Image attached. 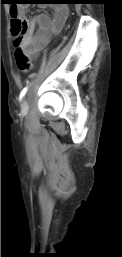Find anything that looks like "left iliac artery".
Instances as JSON below:
<instances>
[{
  "mask_svg": "<svg viewBox=\"0 0 122 257\" xmlns=\"http://www.w3.org/2000/svg\"><path fill=\"white\" fill-rule=\"evenodd\" d=\"M28 90V87H24L20 93L19 99L22 100V98L25 96L26 92Z\"/></svg>",
  "mask_w": 122,
  "mask_h": 257,
  "instance_id": "1",
  "label": "left iliac artery"
}]
</instances>
